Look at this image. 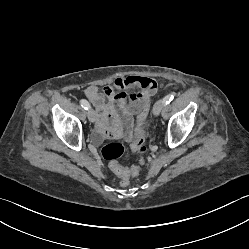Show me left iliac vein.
<instances>
[{"mask_svg": "<svg viewBox=\"0 0 249 249\" xmlns=\"http://www.w3.org/2000/svg\"><path fill=\"white\" fill-rule=\"evenodd\" d=\"M164 106H165L164 100L157 101L153 107V114L155 116H158L162 111V109L164 108Z\"/></svg>", "mask_w": 249, "mask_h": 249, "instance_id": "4c4485c4", "label": "left iliac vein"}]
</instances>
